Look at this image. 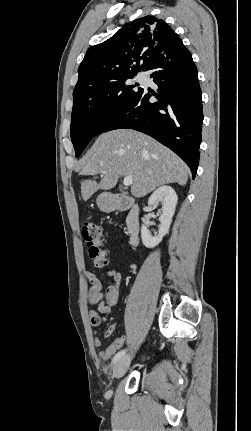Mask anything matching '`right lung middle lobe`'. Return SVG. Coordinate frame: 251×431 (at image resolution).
<instances>
[{
  "label": "right lung middle lobe",
  "instance_id": "right-lung-middle-lobe-1",
  "mask_svg": "<svg viewBox=\"0 0 251 431\" xmlns=\"http://www.w3.org/2000/svg\"><path fill=\"white\" fill-rule=\"evenodd\" d=\"M132 73L118 80L85 92L73 95L71 115V140L78 157L89 141L103 132L109 123L124 109L141 90L138 84L127 85Z\"/></svg>",
  "mask_w": 251,
  "mask_h": 431
}]
</instances>
